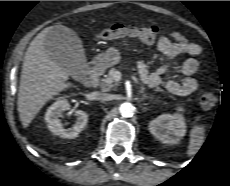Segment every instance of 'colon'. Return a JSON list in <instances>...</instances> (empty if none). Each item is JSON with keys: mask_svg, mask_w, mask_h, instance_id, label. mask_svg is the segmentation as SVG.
Listing matches in <instances>:
<instances>
[{"mask_svg": "<svg viewBox=\"0 0 230 186\" xmlns=\"http://www.w3.org/2000/svg\"><path fill=\"white\" fill-rule=\"evenodd\" d=\"M161 33L157 26H134L115 23L97 34L99 40H116L121 38H136L144 43H154ZM200 104L206 108L215 106L217 98L212 92H202L199 95Z\"/></svg>", "mask_w": 230, "mask_h": 186, "instance_id": "1", "label": "colon"}]
</instances>
